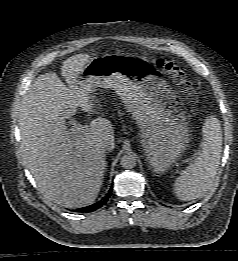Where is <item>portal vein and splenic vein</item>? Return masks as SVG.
Returning a JSON list of instances; mask_svg holds the SVG:
<instances>
[{"mask_svg":"<svg viewBox=\"0 0 238 261\" xmlns=\"http://www.w3.org/2000/svg\"><path fill=\"white\" fill-rule=\"evenodd\" d=\"M87 129V126L85 125H82L80 123H73L72 127H71V132L73 134H76V133H82L84 132L85 130Z\"/></svg>","mask_w":238,"mask_h":261,"instance_id":"18ae733b","label":"portal vein and splenic vein"}]
</instances>
